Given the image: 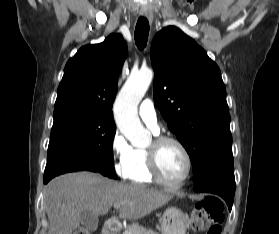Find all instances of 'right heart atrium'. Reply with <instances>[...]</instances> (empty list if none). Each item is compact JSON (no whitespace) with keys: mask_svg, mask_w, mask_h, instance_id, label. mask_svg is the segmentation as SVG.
Wrapping results in <instances>:
<instances>
[{"mask_svg":"<svg viewBox=\"0 0 279 234\" xmlns=\"http://www.w3.org/2000/svg\"><path fill=\"white\" fill-rule=\"evenodd\" d=\"M110 148L114 170L117 175L125 178L133 148L119 129H117L113 134Z\"/></svg>","mask_w":279,"mask_h":234,"instance_id":"d8ad5b80","label":"right heart atrium"}]
</instances>
